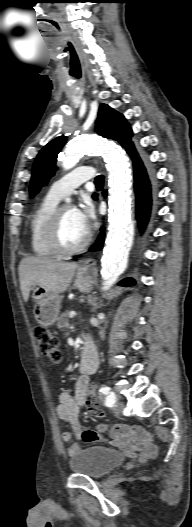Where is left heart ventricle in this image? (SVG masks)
Instances as JSON below:
<instances>
[{"mask_svg":"<svg viewBox=\"0 0 192 527\" xmlns=\"http://www.w3.org/2000/svg\"><path fill=\"white\" fill-rule=\"evenodd\" d=\"M87 230L80 224L75 210L68 208L63 212L61 239L65 246L73 247L83 241Z\"/></svg>","mask_w":192,"mask_h":527,"instance_id":"1","label":"left heart ventricle"}]
</instances>
